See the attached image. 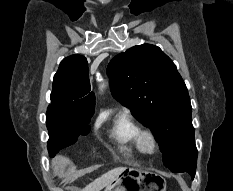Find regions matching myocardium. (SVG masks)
Returning <instances> with one entry per match:
<instances>
[{"label": "myocardium", "instance_id": "obj_1", "mask_svg": "<svg viewBox=\"0 0 233 191\" xmlns=\"http://www.w3.org/2000/svg\"><path fill=\"white\" fill-rule=\"evenodd\" d=\"M140 142L143 150L148 154H153L158 148V139L156 133L150 128L141 130Z\"/></svg>", "mask_w": 233, "mask_h": 191}]
</instances>
